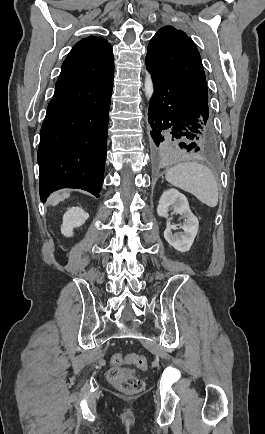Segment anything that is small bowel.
Returning a JSON list of instances; mask_svg holds the SVG:
<instances>
[{
	"mask_svg": "<svg viewBox=\"0 0 265 434\" xmlns=\"http://www.w3.org/2000/svg\"><path fill=\"white\" fill-rule=\"evenodd\" d=\"M111 365L114 366V363L112 362V360L110 361Z\"/></svg>",
	"mask_w": 265,
	"mask_h": 434,
	"instance_id": "c3829d8e",
	"label": "small bowel"
}]
</instances>
